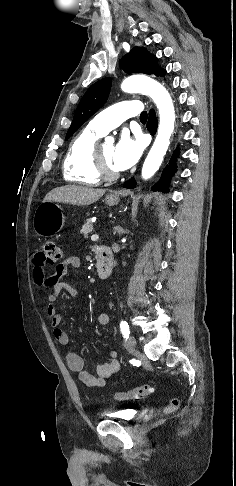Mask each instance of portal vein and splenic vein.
<instances>
[{
    "label": "portal vein and splenic vein",
    "instance_id": "portal-vein-and-splenic-vein-1",
    "mask_svg": "<svg viewBox=\"0 0 236 486\" xmlns=\"http://www.w3.org/2000/svg\"><path fill=\"white\" fill-rule=\"evenodd\" d=\"M98 239H99V236H98L97 234H93V235L91 236V240H92V241H96V240H98Z\"/></svg>",
    "mask_w": 236,
    "mask_h": 486
}]
</instances>
